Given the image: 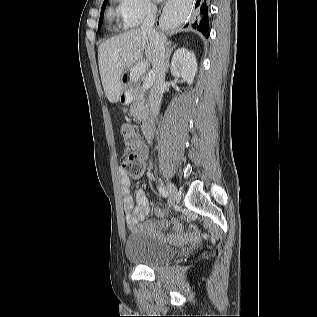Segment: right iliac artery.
I'll use <instances>...</instances> for the list:
<instances>
[{
	"mask_svg": "<svg viewBox=\"0 0 317 317\" xmlns=\"http://www.w3.org/2000/svg\"><path fill=\"white\" fill-rule=\"evenodd\" d=\"M158 190H159V193H160L164 198H167V197H168V191H167L164 187L160 186V187L158 188Z\"/></svg>",
	"mask_w": 317,
	"mask_h": 317,
	"instance_id": "82829eb1",
	"label": "right iliac artery"
}]
</instances>
